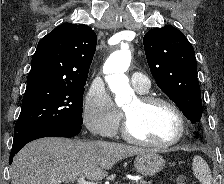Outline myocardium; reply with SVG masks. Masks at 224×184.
<instances>
[{"instance_id": "myocardium-1", "label": "myocardium", "mask_w": 224, "mask_h": 184, "mask_svg": "<svg viewBox=\"0 0 224 184\" xmlns=\"http://www.w3.org/2000/svg\"><path fill=\"white\" fill-rule=\"evenodd\" d=\"M138 100L142 107H148L154 104H164L169 107L178 119V132L173 139L161 144L141 139L132 132L130 116L124 111L122 135L126 140L151 149L164 150L176 145L184 138L187 131L186 118L182 110L172 100L157 95H140Z\"/></svg>"}]
</instances>
